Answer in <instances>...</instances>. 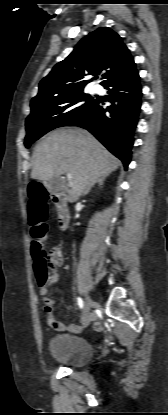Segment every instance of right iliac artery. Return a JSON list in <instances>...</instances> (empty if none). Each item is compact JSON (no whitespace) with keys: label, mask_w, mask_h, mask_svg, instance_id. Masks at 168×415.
I'll list each match as a JSON object with an SVG mask.
<instances>
[{"label":"right iliac artery","mask_w":168,"mask_h":415,"mask_svg":"<svg viewBox=\"0 0 168 415\" xmlns=\"http://www.w3.org/2000/svg\"><path fill=\"white\" fill-rule=\"evenodd\" d=\"M77 301H78V305H79L80 309H82L83 306H84L83 300L80 297H78Z\"/></svg>","instance_id":"right-iliac-artery-1"}]
</instances>
